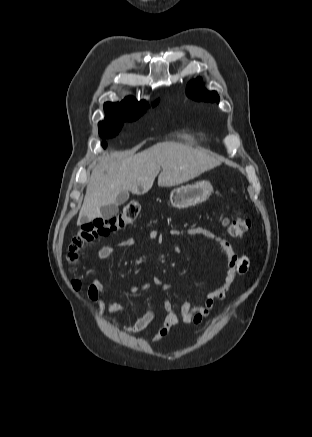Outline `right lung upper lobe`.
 <instances>
[{"label": "right lung upper lobe", "mask_w": 312, "mask_h": 437, "mask_svg": "<svg viewBox=\"0 0 312 437\" xmlns=\"http://www.w3.org/2000/svg\"><path fill=\"white\" fill-rule=\"evenodd\" d=\"M158 101L153 103L156 105ZM146 108V102L144 100L138 102L133 97H127L122 102L112 103L106 102L104 104V110L106 117L109 118H132L140 116L144 113Z\"/></svg>", "instance_id": "cb5924a9"}]
</instances>
